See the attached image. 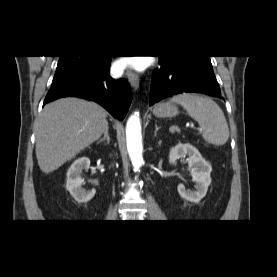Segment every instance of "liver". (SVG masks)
Wrapping results in <instances>:
<instances>
[{
  "label": "liver",
  "instance_id": "liver-1",
  "mask_svg": "<svg viewBox=\"0 0 277 277\" xmlns=\"http://www.w3.org/2000/svg\"><path fill=\"white\" fill-rule=\"evenodd\" d=\"M107 112L98 104L63 98L43 109L36 126V157L50 173L98 140L108 127Z\"/></svg>",
  "mask_w": 277,
  "mask_h": 277
}]
</instances>
